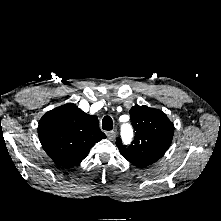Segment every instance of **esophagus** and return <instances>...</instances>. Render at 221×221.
<instances>
[{"mask_svg": "<svg viewBox=\"0 0 221 221\" xmlns=\"http://www.w3.org/2000/svg\"><path fill=\"white\" fill-rule=\"evenodd\" d=\"M116 131L112 130L107 133V137L109 140H114L116 138Z\"/></svg>", "mask_w": 221, "mask_h": 221, "instance_id": "34e87169", "label": "esophagus"}]
</instances>
